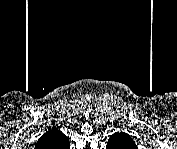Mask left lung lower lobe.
<instances>
[{"label":"left lung lower lobe","instance_id":"0a47b994","mask_svg":"<svg viewBox=\"0 0 177 149\" xmlns=\"http://www.w3.org/2000/svg\"><path fill=\"white\" fill-rule=\"evenodd\" d=\"M129 135H123L121 133H117L116 135H111L110 139L107 143V148L109 149H129L133 147V145H126V141L129 140Z\"/></svg>","mask_w":177,"mask_h":149}]
</instances>
